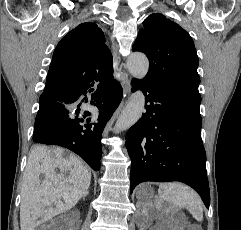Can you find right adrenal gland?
<instances>
[{
    "label": "right adrenal gland",
    "instance_id": "2a0ac1e0",
    "mask_svg": "<svg viewBox=\"0 0 241 230\" xmlns=\"http://www.w3.org/2000/svg\"><path fill=\"white\" fill-rule=\"evenodd\" d=\"M89 194V192H87V194L85 196H87Z\"/></svg>",
    "mask_w": 241,
    "mask_h": 230
}]
</instances>
